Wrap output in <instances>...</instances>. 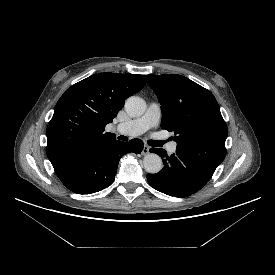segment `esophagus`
<instances>
[{
    "label": "esophagus",
    "instance_id": "34e87169",
    "mask_svg": "<svg viewBox=\"0 0 275 275\" xmlns=\"http://www.w3.org/2000/svg\"><path fill=\"white\" fill-rule=\"evenodd\" d=\"M149 153H150V147L147 146V145H144L143 150H142V154L147 155Z\"/></svg>",
    "mask_w": 275,
    "mask_h": 275
}]
</instances>
